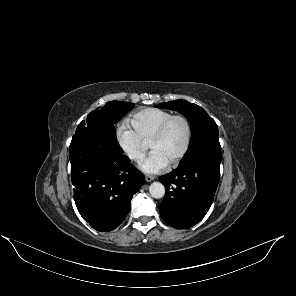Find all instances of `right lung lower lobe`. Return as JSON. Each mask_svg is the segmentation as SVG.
<instances>
[{
  "instance_id": "98d812e1",
  "label": "right lung lower lobe",
  "mask_w": 296,
  "mask_h": 296,
  "mask_svg": "<svg viewBox=\"0 0 296 296\" xmlns=\"http://www.w3.org/2000/svg\"><path fill=\"white\" fill-rule=\"evenodd\" d=\"M122 154L116 139L92 128L77 129L70 144L75 204L97 231H111L123 222L144 183V175Z\"/></svg>"
}]
</instances>
